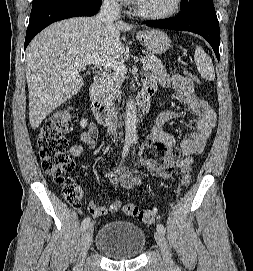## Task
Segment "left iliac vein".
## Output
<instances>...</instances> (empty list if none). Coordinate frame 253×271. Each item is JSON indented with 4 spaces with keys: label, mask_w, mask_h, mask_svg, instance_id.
Masks as SVG:
<instances>
[{
    "label": "left iliac vein",
    "mask_w": 253,
    "mask_h": 271,
    "mask_svg": "<svg viewBox=\"0 0 253 271\" xmlns=\"http://www.w3.org/2000/svg\"><path fill=\"white\" fill-rule=\"evenodd\" d=\"M155 240H156L157 245L160 249L165 267L167 269H173L174 263H173L167 242L165 240V237L163 236L162 233L157 231V232H155Z\"/></svg>",
    "instance_id": "4c4485c4"
}]
</instances>
